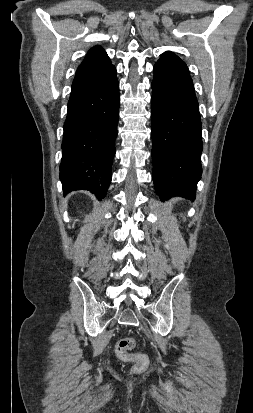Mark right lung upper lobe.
I'll return each mask as SVG.
<instances>
[{"instance_id": "1", "label": "right lung upper lobe", "mask_w": 253, "mask_h": 413, "mask_svg": "<svg viewBox=\"0 0 253 413\" xmlns=\"http://www.w3.org/2000/svg\"><path fill=\"white\" fill-rule=\"evenodd\" d=\"M113 67L103 48L101 46L93 47L76 71L71 95L90 89L102 80Z\"/></svg>"}]
</instances>
